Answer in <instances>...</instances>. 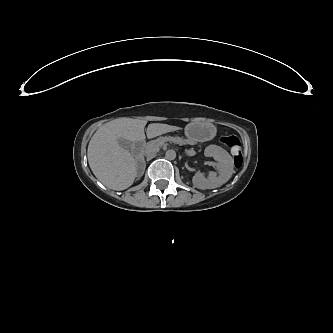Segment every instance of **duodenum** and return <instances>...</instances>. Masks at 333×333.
<instances>
[{"mask_svg": "<svg viewBox=\"0 0 333 333\" xmlns=\"http://www.w3.org/2000/svg\"><path fill=\"white\" fill-rule=\"evenodd\" d=\"M144 144H145V143L142 142V143L140 144V147L143 148V147H144Z\"/></svg>", "mask_w": 333, "mask_h": 333, "instance_id": "1", "label": "duodenum"}]
</instances>
